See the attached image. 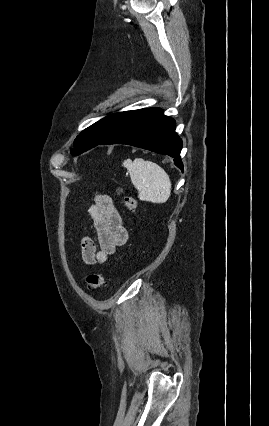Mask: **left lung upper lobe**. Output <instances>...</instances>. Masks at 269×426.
<instances>
[{
    "label": "left lung upper lobe",
    "instance_id": "left-lung-upper-lobe-1",
    "mask_svg": "<svg viewBox=\"0 0 269 426\" xmlns=\"http://www.w3.org/2000/svg\"><path fill=\"white\" fill-rule=\"evenodd\" d=\"M121 113H114L83 130L74 140L72 155H78L97 146L109 133Z\"/></svg>",
    "mask_w": 269,
    "mask_h": 426
}]
</instances>
